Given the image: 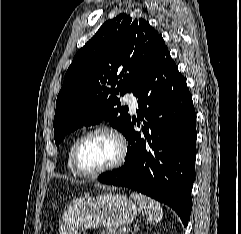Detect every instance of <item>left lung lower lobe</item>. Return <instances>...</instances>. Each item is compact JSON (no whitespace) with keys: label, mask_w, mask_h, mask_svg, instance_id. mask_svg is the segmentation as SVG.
Returning a JSON list of instances; mask_svg holds the SVG:
<instances>
[{"label":"left lung lower lobe","mask_w":241,"mask_h":234,"mask_svg":"<svg viewBox=\"0 0 241 234\" xmlns=\"http://www.w3.org/2000/svg\"><path fill=\"white\" fill-rule=\"evenodd\" d=\"M133 94L139 110L137 120L130 117L127 126L126 161L98 180L169 205L187 226L195 179L196 113L186 80L167 47L143 74ZM136 122L143 135L134 131Z\"/></svg>","instance_id":"1"}]
</instances>
